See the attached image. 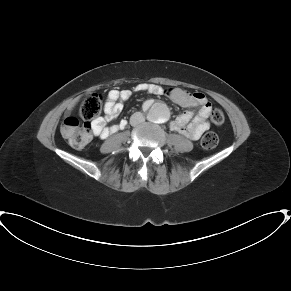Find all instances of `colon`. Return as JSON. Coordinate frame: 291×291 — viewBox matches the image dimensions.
<instances>
[{
    "label": "colon",
    "instance_id": "1",
    "mask_svg": "<svg viewBox=\"0 0 291 291\" xmlns=\"http://www.w3.org/2000/svg\"><path fill=\"white\" fill-rule=\"evenodd\" d=\"M103 109V96L101 94H92L88 96L80 106L79 115L82 120L76 117H68L61 125V134L74 148H84L92 139L91 130L93 123L98 120ZM211 120L216 125L224 122V114L219 108L213 109ZM218 144V136L210 132L206 134L201 145L206 150L215 148Z\"/></svg>",
    "mask_w": 291,
    "mask_h": 291
}]
</instances>
